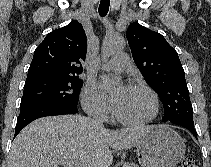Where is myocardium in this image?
I'll return each instance as SVG.
<instances>
[{"mask_svg":"<svg viewBox=\"0 0 211 167\" xmlns=\"http://www.w3.org/2000/svg\"><path fill=\"white\" fill-rule=\"evenodd\" d=\"M130 88L143 90L150 95V97L152 98V102H153V112H152V114L149 117L142 119V120L126 119V118L120 116L118 113H115V117L122 124L131 125V126H141V125H146V124L152 122L159 114L160 104H159L158 95L156 94V92L151 87H149L148 85L141 83V82L131 83Z\"/></svg>","mask_w":211,"mask_h":167,"instance_id":"myocardium-1","label":"myocardium"}]
</instances>
